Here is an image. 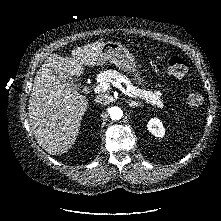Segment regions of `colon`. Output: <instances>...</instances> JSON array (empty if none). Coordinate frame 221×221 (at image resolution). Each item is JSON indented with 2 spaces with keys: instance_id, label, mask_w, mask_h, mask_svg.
<instances>
[{
  "instance_id": "obj_1",
  "label": "colon",
  "mask_w": 221,
  "mask_h": 221,
  "mask_svg": "<svg viewBox=\"0 0 221 221\" xmlns=\"http://www.w3.org/2000/svg\"><path fill=\"white\" fill-rule=\"evenodd\" d=\"M166 71L170 76L181 78L187 72V65L182 58L171 57L167 62ZM186 102L190 107H199L203 103V96L200 92L193 91L188 94Z\"/></svg>"
}]
</instances>
